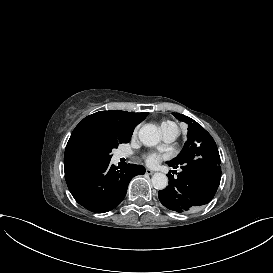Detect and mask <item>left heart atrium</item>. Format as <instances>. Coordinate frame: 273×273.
Instances as JSON below:
<instances>
[{
	"mask_svg": "<svg viewBox=\"0 0 273 273\" xmlns=\"http://www.w3.org/2000/svg\"><path fill=\"white\" fill-rule=\"evenodd\" d=\"M157 160H158V156L155 155V154L149 155V156L147 157V161H148L149 163H156Z\"/></svg>",
	"mask_w": 273,
	"mask_h": 273,
	"instance_id": "1",
	"label": "left heart atrium"
}]
</instances>
